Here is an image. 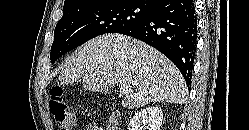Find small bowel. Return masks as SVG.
Masks as SVG:
<instances>
[{"label": "small bowel", "instance_id": "obj_1", "mask_svg": "<svg viewBox=\"0 0 249 130\" xmlns=\"http://www.w3.org/2000/svg\"><path fill=\"white\" fill-rule=\"evenodd\" d=\"M83 130H103V128L99 127L96 124H88Z\"/></svg>", "mask_w": 249, "mask_h": 130}]
</instances>
